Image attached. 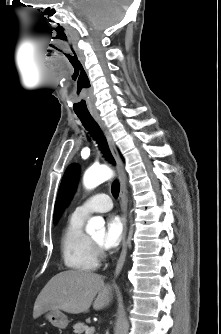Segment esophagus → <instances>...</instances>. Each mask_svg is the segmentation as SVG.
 <instances>
[{"label":"esophagus","mask_w":221,"mask_h":334,"mask_svg":"<svg viewBox=\"0 0 221 334\" xmlns=\"http://www.w3.org/2000/svg\"><path fill=\"white\" fill-rule=\"evenodd\" d=\"M94 119L99 124L100 128L104 132V135L106 137V140L108 142L109 149L115 159L116 162V169L119 174L120 179V203H121V221L123 224V240H122V250L120 253V257L117 261L116 269H115V277H117L122 270V267L125 262L126 254H127V246H128V240H127V197H126V184H127V177L124 169L123 161L120 157V154L116 148V145L112 139V136L108 129L106 128L104 122L100 118L99 115H94Z\"/></svg>","instance_id":"34e87169"}]
</instances>
